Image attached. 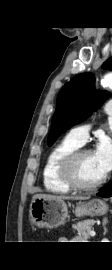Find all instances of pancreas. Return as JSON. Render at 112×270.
<instances>
[{"label": "pancreas", "instance_id": "pancreas-1", "mask_svg": "<svg viewBox=\"0 0 112 270\" xmlns=\"http://www.w3.org/2000/svg\"><path fill=\"white\" fill-rule=\"evenodd\" d=\"M95 224L94 220L87 219L78 222L72 226V228L77 231V235L82 237V239L87 240L89 238V233Z\"/></svg>", "mask_w": 112, "mask_h": 270}]
</instances>
